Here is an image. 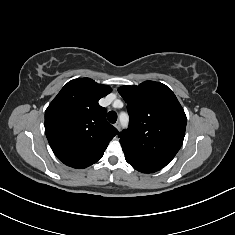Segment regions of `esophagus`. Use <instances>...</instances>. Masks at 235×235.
<instances>
[{"label":"esophagus","instance_id":"34e87169","mask_svg":"<svg viewBox=\"0 0 235 235\" xmlns=\"http://www.w3.org/2000/svg\"><path fill=\"white\" fill-rule=\"evenodd\" d=\"M114 126H115V128H117L118 130H120V127H121L120 122H116V123L114 124Z\"/></svg>","mask_w":235,"mask_h":235}]
</instances>
